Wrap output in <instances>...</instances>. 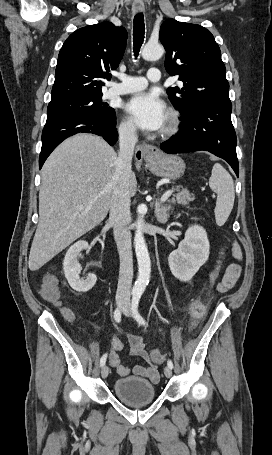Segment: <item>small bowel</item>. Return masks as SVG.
I'll use <instances>...</instances> for the list:
<instances>
[{
  "label": "small bowel",
  "mask_w": 272,
  "mask_h": 455,
  "mask_svg": "<svg viewBox=\"0 0 272 455\" xmlns=\"http://www.w3.org/2000/svg\"><path fill=\"white\" fill-rule=\"evenodd\" d=\"M232 255L237 260L242 259V250L238 243L234 242L232 244ZM241 275V266L239 263H231L227 266L225 273L221 281L217 284V291L224 293L232 289L237 283ZM129 352L131 356L141 357L148 360V353L145 350V346L142 340V337L137 334L129 335ZM124 349V344L117 338L112 337V350L109 354V363L112 368L121 376L125 377L130 374V369L124 365L119 356V352ZM133 373L138 376L149 379L152 382H157L159 380V371L156 365H136L133 368Z\"/></svg>",
  "instance_id": "c3829d8e"
}]
</instances>
